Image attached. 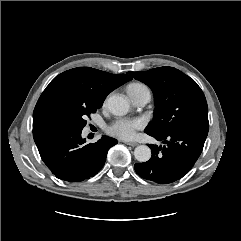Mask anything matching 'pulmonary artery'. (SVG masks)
I'll return each mask as SVG.
<instances>
[{"label":"pulmonary artery","instance_id":"1","mask_svg":"<svg viewBox=\"0 0 241 241\" xmlns=\"http://www.w3.org/2000/svg\"><path fill=\"white\" fill-rule=\"evenodd\" d=\"M130 99L136 106H144L151 99V93L149 90H141L134 93H129Z\"/></svg>","mask_w":241,"mask_h":241}]
</instances>
